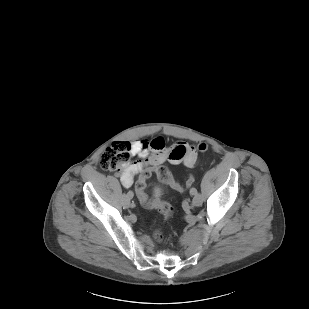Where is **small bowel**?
Here are the masks:
<instances>
[{"instance_id": "c3829d8e", "label": "small bowel", "mask_w": 309, "mask_h": 309, "mask_svg": "<svg viewBox=\"0 0 309 309\" xmlns=\"http://www.w3.org/2000/svg\"><path fill=\"white\" fill-rule=\"evenodd\" d=\"M132 154L138 160L125 165L119 173L125 187L132 185L136 174L144 170L152 172L155 167L166 161L173 164H183L186 167H193L198 161V152L194 145L179 141L172 146L170 151H167L165 140L161 136L153 137L150 140L133 141Z\"/></svg>"}]
</instances>
